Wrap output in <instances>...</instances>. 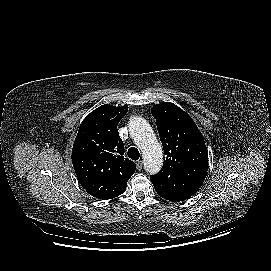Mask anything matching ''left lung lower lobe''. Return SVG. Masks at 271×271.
Listing matches in <instances>:
<instances>
[{
	"mask_svg": "<svg viewBox=\"0 0 271 271\" xmlns=\"http://www.w3.org/2000/svg\"><path fill=\"white\" fill-rule=\"evenodd\" d=\"M154 187L157 194L173 202L190 198L200 188L179 175H171L163 181V185Z\"/></svg>",
	"mask_w": 271,
	"mask_h": 271,
	"instance_id": "0a47b994",
	"label": "left lung lower lobe"
}]
</instances>
